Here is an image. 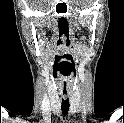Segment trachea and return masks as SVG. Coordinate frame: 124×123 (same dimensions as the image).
<instances>
[{"label": "trachea", "instance_id": "obj_1", "mask_svg": "<svg viewBox=\"0 0 124 123\" xmlns=\"http://www.w3.org/2000/svg\"><path fill=\"white\" fill-rule=\"evenodd\" d=\"M69 107H70L69 98L62 99L61 111L63 116H66L68 114Z\"/></svg>", "mask_w": 124, "mask_h": 123}]
</instances>
